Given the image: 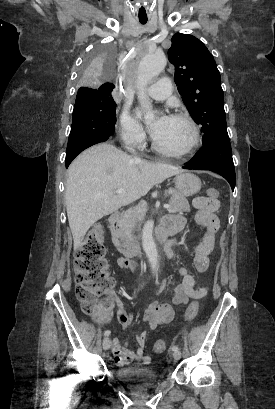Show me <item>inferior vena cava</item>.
<instances>
[{"label":"inferior vena cava","mask_w":275,"mask_h":409,"mask_svg":"<svg viewBox=\"0 0 275 409\" xmlns=\"http://www.w3.org/2000/svg\"><path fill=\"white\" fill-rule=\"evenodd\" d=\"M123 138H124V140H126V142H128V144H130V142H134L132 136H130V132H124ZM130 150H132V152H134V148H130Z\"/></svg>","instance_id":"602c4592"}]
</instances>
